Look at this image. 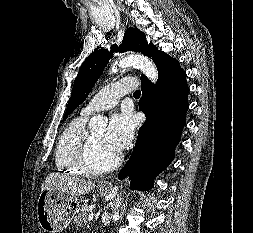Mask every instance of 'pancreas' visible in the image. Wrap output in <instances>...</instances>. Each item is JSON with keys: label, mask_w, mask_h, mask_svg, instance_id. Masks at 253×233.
I'll return each mask as SVG.
<instances>
[{"label": "pancreas", "mask_w": 253, "mask_h": 233, "mask_svg": "<svg viewBox=\"0 0 253 233\" xmlns=\"http://www.w3.org/2000/svg\"><path fill=\"white\" fill-rule=\"evenodd\" d=\"M91 210L87 204H83L80 208V213H78L75 218L74 222L78 225L86 224L87 223V214L90 213Z\"/></svg>", "instance_id": "pancreas-1"}]
</instances>
